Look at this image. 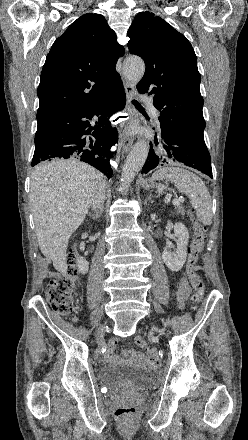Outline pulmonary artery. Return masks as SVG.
I'll return each instance as SVG.
<instances>
[{"mask_svg": "<svg viewBox=\"0 0 248 440\" xmlns=\"http://www.w3.org/2000/svg\"><path fill=\"white\" fill-rule=\"evenodd\" d=\"M149 104H150V103H149ZM154 116H155V119L157 120L158 113H157L156 111H154Z\"/></svg>", "mask_w": 248, "mask_h": 440, "instance_id": "pulmonary-artery-1", "label": "pulmonary artery"}]
</instances>
